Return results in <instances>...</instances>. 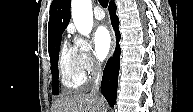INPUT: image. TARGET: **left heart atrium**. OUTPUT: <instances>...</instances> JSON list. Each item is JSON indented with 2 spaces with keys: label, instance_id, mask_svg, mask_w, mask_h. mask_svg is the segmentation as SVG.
I'll return each mask as SVG.
<instances>
[{
  "label": "left heart atrium",
  "instance_id": "39dd6f15",
  "mask_svg": "<svg viewBox=\"0 0 193 112\" xmlns=\"http://www.w3.org/2000/svg\"><path fill=\"white\" fill-rule=\"evenodd\" d=\"M112 39L109 30L105 26H99L94 34V48L98 59L104 60L111 48Z\"/></svg>",
  "mask_w": 193,
  "mask_h": 112
}]
</instances>
